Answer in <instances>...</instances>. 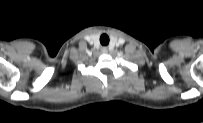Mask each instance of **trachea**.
<instances>
[{
  "label": "trachea",
  "instance_id": "obj_1",
  "mask_svg": "<svg viewBox=\"0 0 203 123\" xmlns=\"http://www.w3.org/2000/svg\"><path fill=\"white\" fill-rule=\"evenodd\" d=\"M100 42L102 45H107L109 43V37L106 34H103L100 37Z\"/></svg>",
  "mask_w": 203,
  "mask_h": 123
}]
</instances>
